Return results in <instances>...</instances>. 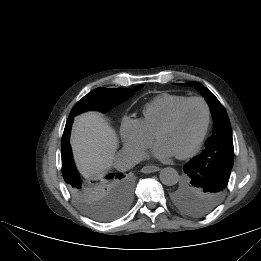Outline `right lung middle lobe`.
Returning a JSON list of instances; mask_svg holds the SVG:
<instances>
[{
	"label": "right lung middle lobe",
	"instance_id": "1",
	"mask_svg": "<svg viewBox=\"0 0 261 261\" xmlns=\"http://www.w3.org/2000/svg\"><path fill=\"white\" fill-rule=\"evenodd\" d=\"M142 85L134 89L96 88L84 96L71 110L70 117L90 109L106 112L128 99ZM63 177L79 208L98 221L111 220L125 209L130 199V187L117 176L114 180L96 184H84L77 171L63 172ZM113 179V177H108Z\"/></svg>",
	"mask_w": 261,
	"mask_h": 261
}]
</instances>
